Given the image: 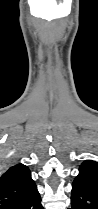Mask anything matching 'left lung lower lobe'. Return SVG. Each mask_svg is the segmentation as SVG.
Returning a JSON list of instances; mask_svg holds the SVG:
<instances>
[{"label": "left lung lower lobe", "instance_id": "1", "mask_svg": "<svg viewBox=\"0 0 98 209\" xmlns=\"http://www.w3.org/2000/svg\"><path fill=\"white\" fill-rule=\"evenodd\" d=\"M71 209H98V189L80 182H73Z\"/></svg>", "mask_w": 98, "mask_h": 209}]
</instances>
